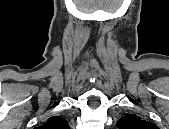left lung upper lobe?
Returning <instances> with one entry per match:
<instances>
[{"label":"left lung upper lobe","mask_w":169,"mask_h":129,"mask_svg":"<svg viewBox=\"0 0 169 129\" xmlns=\"http://www.w3.org/2000/svg\"><path fill=\"white\" fill-rule=\"evenodd\" d=\"M117 126L120 129H157V126L146 120L140 119L135 114H128L123 116L118 122Z\"/></svg>","instance_id":"5c2ea615"}]
</instances>
